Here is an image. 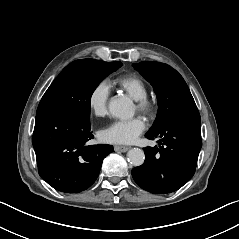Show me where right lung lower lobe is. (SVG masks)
<instances>
[{"mask_svg":"<svg viewBox=\"0 0 239 239\" xmlns=\"http://www.w3.org/2000/svg\"><path fill=\"white\" fill-rule=\"evenodd\" d=\"M89 117L58 107L36 114L32 144L39 175L54 189L79 193L97 179L111 145H88L94 136Z\"/></svg>","mask_w":239,"mask_h":239,"instance_id":"98d812e1","label":"right lung lower lobe"}]
</instances>
